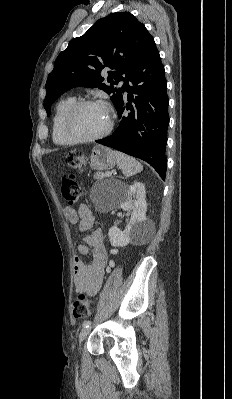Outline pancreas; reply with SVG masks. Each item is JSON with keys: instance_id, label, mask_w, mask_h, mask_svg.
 Wrapping results in <instances>:
<instances>
[{"instance_id": "cf45deb5", "label": "pancreas", "mask_w": 232, "mask_h": 399, "mask_svg": "<svg viewBox=\"0 0 232 399\" xmlns=\"http://www.w3.org/2000/svg\"><path fill=\"white\" fill-rule=\"evenodd\" d=\"M94 178L96 180H103V178H109V176H106V172H96Z\"/></svg>"}]
</instances>
